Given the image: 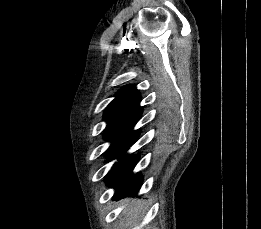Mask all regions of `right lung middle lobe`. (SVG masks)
<instances>
[{"label":"right lung middle lobe","mask_w":261,"mask_h":229,"mask_svg":"<svg viewBox=\"0 0 261 229\" xmlns=\"http://www.w3.org/2000/svg\"><path fill=\"white\" fill-rule=\"evenodd\" d=\"M137 137H138V133H136V134L133 135V137H132V143L136 140ZM126 150H127V149H125V150H108V151L106 152V158H107V159H115V158L121 156V158L118 159V161H121V160H123L124 158L128 157V156H122Z\"/></svg>","instance_id":"obj_1"}]
</instances>
